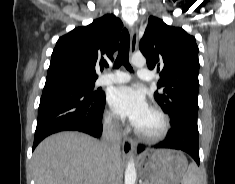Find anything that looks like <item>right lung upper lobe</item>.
Returning <instances> with one entry per match:
<instances>
[{
  "instance_id": "cb5924a9",
  "label": "right lung upper lobe",
  "mask_w": 235,
  "mask_h": 184,
  "mask_svg": "<svg viewBox=\"0 0 235 184\" xmlns=\"http://www.w3.org/2000/svg\"><path fill=\"white\" fill-rule=\"evenodd\" d=\"M122 22L112 14L77 27L59 38L51 56L45 84L74 77L95 81L96 69L108 67L118 49Z\"/></svg>"
}]
</instances>
